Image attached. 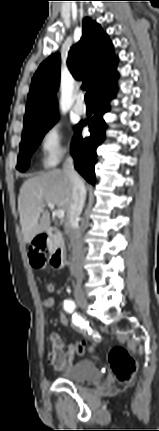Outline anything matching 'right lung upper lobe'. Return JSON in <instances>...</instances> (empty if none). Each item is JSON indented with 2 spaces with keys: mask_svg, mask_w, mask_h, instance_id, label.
Listing matches in <instances>:
<instances>
[{
  "mask_svg": "<svg viewBox=\"0 0 159 431\" xmlns=\"http://www.w3.org/2000/svg\"><path fill=\"white\" fill-rule=\"evenodd\" d=\"M118 58L113 45L99 24L89 18L83 21V35L68 53L67 66L83 88H92L94 94L105 84L118 77ZM60 54L42 62L34 77L24 117V130L58 115L56 91L60 81Z\"/></svg>",
  "mask_w": 159,
  "mask_h": 431,
  "instance_id": "cb5924a9",
  "label": "right lung upper lobe"
}]
</instances>
